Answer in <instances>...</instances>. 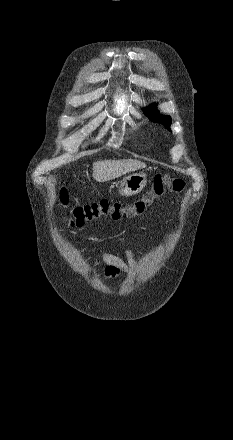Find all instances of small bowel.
<instances>
[{
	"label": "small bowel",
	"mask_w": 233,
	"mask_h": 440,
	"mask_svg": "<svg viewBox=\"0 0 233 440\" xmlns=\"http://www.w3.org/2000/svg\"><path fill=\"white\" fill-rule=\"evenodd\" d=\"M102 261L105 264L103 278H116L123 273H129L137 268V262L135 259V248L130 247L126 250V260L109 253L102 252L100 258L95 259V263Z\"/></svg>",
	"instance_id": "c3829d8e"
}]
</instances>
